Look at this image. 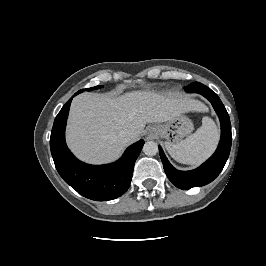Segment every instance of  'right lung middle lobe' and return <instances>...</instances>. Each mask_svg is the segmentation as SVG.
Instances as JSON below:
<instances>
[{
    "instance_id": "right-lung-middle-lobe-1",
    "label": "right lung middle lobe",
    "mask_w": 266,
    "mask_h": 266,
    "mask_svg": "<svg viewBox=\"0 0 266 266\" xmlns=\"http://www.w3.org/2000/svg\"><path fill=\"white\" fill-rule=\"evenodd\" d=\"M98 88H101V86L92 87V88H89V89H86V90L91 91V90H93V89H98ZM83 91H84V90H80V91L77 92V94H78V93H81V92H83Z\"/></svg>"
}]
</instances>
